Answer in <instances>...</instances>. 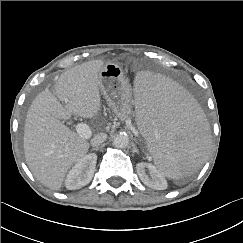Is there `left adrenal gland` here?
Masks as SVG:
<instances>
[{"label": "left adrenal gland", "mask_w": 243, "mask_h": 243, "mask_svg": "<svg viewBox=\"0 0 243 243\" xmlns=\"http://www.w3.org/2000/svg\"><path fill=\"white\" fill-rule=\"evenodd\" d=\"M133 153L139 154V151H138V149L135 146L133 147Z\"/></svg>", "instance_id": "left-adrenal-gland-1"}]
</instances>
